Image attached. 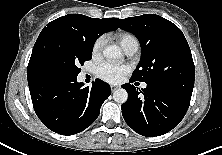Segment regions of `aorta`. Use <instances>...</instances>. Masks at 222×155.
<instances>
[{"label": "aorta", "mask_w": 222, "mask_h": 155, "mask_svg": "<svg viewBox=\"0 0 222 155\" xmlns=\"http://www.w3.org/2000/svg\"><path fill=\"white\" fill-rule=\"evenodd\" d=\"M103 55L109 60H116L122 58L121 49L116 45H110L104 48ZM113 99L117 103H125L128 99L127 91L123 88H119L114 91Z\"/></svg>", "instance_id": "1"}]
</instances>
